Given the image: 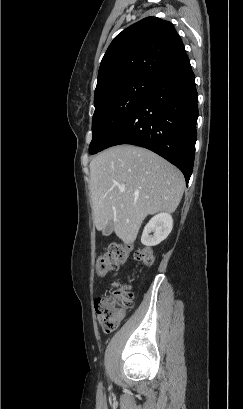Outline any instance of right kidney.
Returning a JSON list of instances; mask_svg holds the SVG:
<instances>
[{
  "label": "right kidney",
  "mask_w": 243,
  "mask_h": 409,
  "mask_svg": "<svg viewBox=\"0 0 243 409\" xmlns=\"http://www.w3.org/2000/svg\"><path fill=\"white\" fill-rule=\"evenodd\" d=\"M172 228L173 219L170 214H157L144 227L141 242L146 246H156L168 237Z\"/></svg>",
  "instance_id": "1"
}]
</instances>
